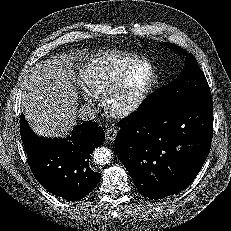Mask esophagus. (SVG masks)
<instances>
[{
	"label": "esophagus",
	"mask_w": 231,
	"mask_h": 231,
	"mask_svg": "<svg viewBox=\"0 0 231 231\" xmlns=\"http://www.w3.org/2000/svg\"><path fill=\"white\" fill-rule=\"evenodd\" d=\"M116 135H117V129L114 127H109L105 131V136L108 141L114 140Z\"/></svg>",
	"instance_id": "obj_1"
}]
</instances>
